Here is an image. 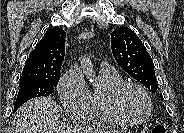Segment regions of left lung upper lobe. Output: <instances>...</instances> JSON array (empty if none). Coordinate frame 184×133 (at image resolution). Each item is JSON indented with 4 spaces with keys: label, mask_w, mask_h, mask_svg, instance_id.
Returning a JSON list of instances; mask_svg holds the SVG:
<instances>
[{
    "label": "left lung upper lobe",
    "mask_w": 184,
    "mask_h": 133,
    "mask_svg": "<svg viewBox=\"0 0 184 133\" xmlns=\"http://www.w3.org/2000/svg\"><path fill=\"white\" fill-rule=\"evenodd\" d=\"M111 48L124 71L152 92L158 90L152 58L134 31L127 27L115 29L111 33Z\"/></svg>",
    "instance_id": "obj_1"
}]
</instances>
